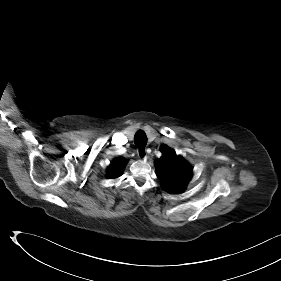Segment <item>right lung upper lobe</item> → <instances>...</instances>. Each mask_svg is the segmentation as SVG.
Returning a JSON list of instances; mask_svg holds the SVG:
<instances>
[{
    "instance_id": "right-lung-upper-lobe-1",
    "label": "right lung upper lobe",
    "mask_w": 281,
    "mask_h": 281,
    "mask_svg": "<svg viewBox=\"0 0 281 281\" xmlns=\"http://www.w3.org/2000/svg\"><path fill=\"white\" fill-rule=\"evenodd\" d=\"M127 160L123 158L115 159L108 167V175L110 178H117L121 176Z\"/></svg>"
}]
</instances>
